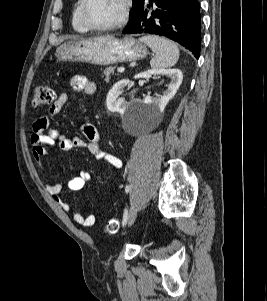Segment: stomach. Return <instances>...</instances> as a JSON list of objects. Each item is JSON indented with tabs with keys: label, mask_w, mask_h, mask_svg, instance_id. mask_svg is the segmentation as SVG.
<instances>
[{
	"label": "stomach",
	"mask_w": 267,
	"mask_h": 301,
	"mask_svg": "<svg viewBox=\"0 0 267 301\" xmlns=\"http://www.w3.org/2000/svg\"><path fill=\"white\" fill-rule=\"evenodd\" d=\"M146 46L133 37L117 39L113 36L86 40H70L61 44L55 53L60 61L110 65L145 58Z\"/></svg>",
	"instance_id": "stomach-1"
}]
</instances>
